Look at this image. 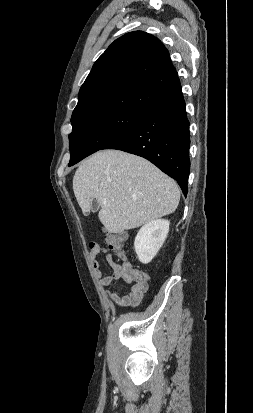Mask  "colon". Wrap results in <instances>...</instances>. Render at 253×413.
I'll return each instance as SVG.
<instances>
[{
	"mask_svg": "<svg viewBox=\"0 0 253 413\" xmlns=\"http://www.w3.org/2000/svg\"><path fill=\"white\" fill-rule=\"evenodd\" d=\"M103 239L113 252L120 257H124V245L126 242L124 234L104 231ZM124 273L137 283H146L148 281L147 274L134 268L129 262L125 263Z\"/></svg>",
	"mask_w": 253,
	"mask_h": 413,
	"instance_id": "5ec220e1",
	"label": "colon"
}]
</instances>
